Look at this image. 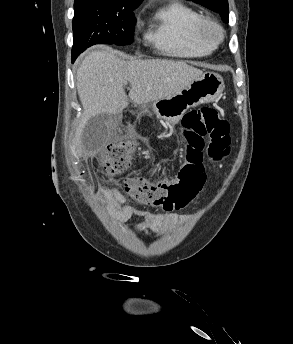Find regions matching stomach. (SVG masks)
<instances>
[{
    "mask_svg": "<svg viewBox=\"0 0 293 344\" xmlns=\"http://www.w3.org/2000/svg\"><path fill=\"white\" fill-rule=\"evenodd\" d=\"M224 87L223 78L218 73L204 72L180 93L154 101L151 107L164 122L174 125L189 108L215 101Z\"/></svg>",
    "mask_w": 293,
    "mask_h": 344,
    "instance_id": "stomach-1",
    "label": "stomach"
}]
</instances>
